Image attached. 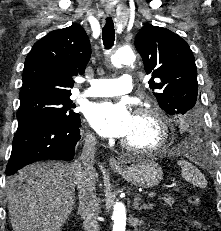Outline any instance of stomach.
<instances>
[{"label":"stomach","mask_w":221,"mask_h":231,"mask_svg":"<svg viewBox=\"0 0 221 231\" xmlns=\"http://www.w3.org/2000/svg\"><path fill=\"white\" fill-rule=\"evenodd\" d=\"M127 182L143 188L157 186L163 178L162 168L153 160L143 159L124 168H114Z\"/></svg>","instance_id":"obj_1"}]
</instances>
